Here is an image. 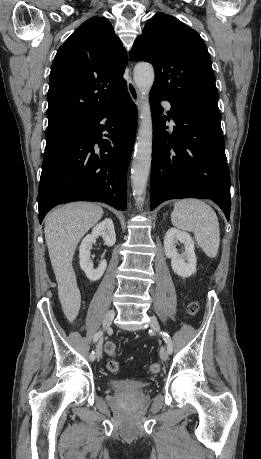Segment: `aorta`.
Here are the masks:
<instances>
[{
  "label": "aorta",
  "mask_w": 261,
  "mask_h": 459,
  "mask_svg": "<svg viewBox=\"0 0 261 459\" xmlns=\"http://www.w3.org/2000/svg\"><path fill=\"white\" fill-rule=\"evenodd\" d=\"M134 82L141 94L140 128L131 168V186L138 201L144 200L151 168L153 124L149 105V93L155 73L152 65L138 63L134 67Z\"/></svg>",
  "instance_id": "aorta-1"
}]
</instances>
